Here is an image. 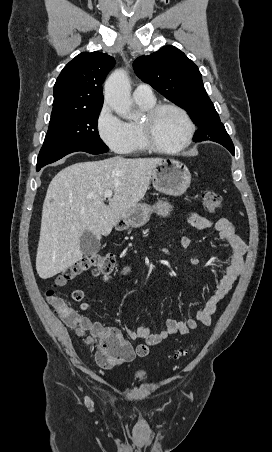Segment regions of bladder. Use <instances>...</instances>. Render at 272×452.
<instances>
[{
    "label": "bladder",
    "mask_w": 272,
    "mask_h": 452,
    "mask_svg": "<svg viewBox=\"0 0 272 452\" xmlns=\"http://www.w3.org/2000/svg\"><path fill=\"white\" fill-rule=\"evenodd\" d=\"M136 377L139 380H143V379L146 378V372L144 370H139V371L136 372Z\"/></svg>",
    "instance_id": "1"
}]
</instances>
